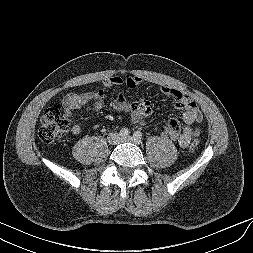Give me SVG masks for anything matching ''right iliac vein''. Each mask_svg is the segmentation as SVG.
Instances as JSON below:
<instances>
[{
	"mask_svg": "<svg viewBox=\"0 0 253 253\" xmlns=\"http://www.w3.org/2000/svg\"><path fill=\"white\" fill-rule=\"evenodd\" d=\"M120 141H121V137L118 133H112L108 136V142L111 145H117L120 143Z\"/></svg>",
	"mask_w": 253,
	"mask_h": 253,
	"instance_id": "right-iliac-vein-1",
	"label": "right iliac vein"
}]
</instances>
